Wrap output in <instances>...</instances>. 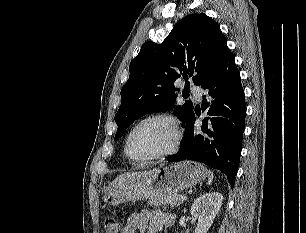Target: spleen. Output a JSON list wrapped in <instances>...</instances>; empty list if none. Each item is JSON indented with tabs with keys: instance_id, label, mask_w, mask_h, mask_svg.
Masks as SVG:
<instances>
[{
	"instance_id": "obj_1",
	"label": "spleen",
	"mask_w": 306,
	"mask_h": 233,
	"mask_svg": "<svg viewBox=\"0 0 306 233\" xmlns=\"http://www.w3.org/2000/svg\"><path fill=\"white\" fill-rule=\"evenodd\" d=\"M213 173L211 171H209V178H208V185H210L213 182Z\"/></svg>"
}]
</instances>
